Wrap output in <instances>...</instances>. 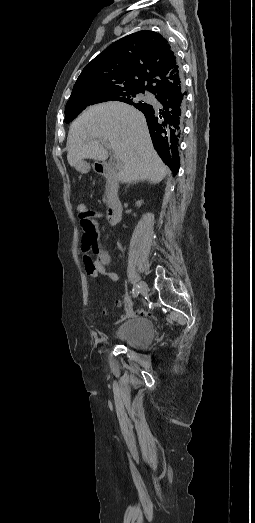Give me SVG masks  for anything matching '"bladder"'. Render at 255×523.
I'll return each instance as SVG.
<instances>
[{
    "label": "bladder",
    "instance_id": "obj_1",
    "mask_svg": "<svg viewBox=\"0 0 255 523\" xmlns=\"http://www.w3.org/2000/svg\"><path fill=\"white\" fill-rule=\"evenodd\" d=\"M153 325L147 319L139 318L136 320H129L125 323L115 339L122 341L134 349L145 347L152 341Z\"/></svg>",
    "mask_w": 255,
    "mask_h": 523
}]
</instances>
